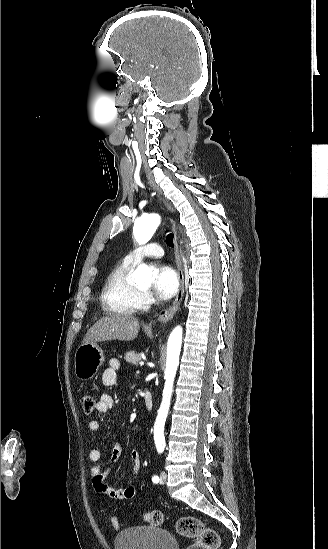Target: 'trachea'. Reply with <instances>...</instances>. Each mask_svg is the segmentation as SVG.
Masks as SVG:
<instances>
[{
    "instance_id": "obj_1",
    "label": "trachea",
    "mask_w": 328,
    "mask_h": 549,
    "mask_svg": "<svg viewBox=\"0 0 328 549\" xmlns=\"http://www.w3.org/2000/svg\"><path fill=\"white\" fill-rule=\"evenodd\" d=\"M166 243H167V245H169V247H174V235L173 234H168L166 236Z\"/></svg>"
}]
</instances>
